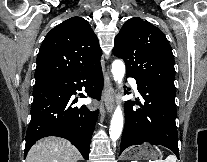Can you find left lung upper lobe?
Instances as JSON below:
<instances>
[{"label": "left lung upper lobe", "mask_w": 207, "mask_h": 162, "mask_svg": "<svg viewBox=\"0 0 207 162\" xmlns=\"http://www.w3.org/2000/svg\"><path fill=\"white\" fill-rule=\"evenodd\" d=\"M113 53L125 61L127 74L139 82L175 88L171 46L149 22L138 17L127 20L116 36Z\"/></svg>", "instance_id": "obj_1"}]
</instances>
